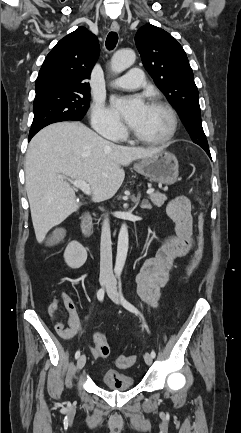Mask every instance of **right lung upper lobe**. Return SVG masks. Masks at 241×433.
I'll list each match as a JSON object with an SVG mask.
<instances>
[{"label":"right lung upper lobe","instance_id":"cb5924a9","mask_svg":"<svg viewBox=\"0 0 241 433\" xmlns=\"http://www.w3.org/2000/svg\"><path fill=\"white\" fill-rule=\"evenodd\" d=\"M97 37L84 27L61 39L45 58L36 79V97L89 93L91 70L98 58Z\"/></svg>","mask_w":241,"mask_h":433}]
</instances>
